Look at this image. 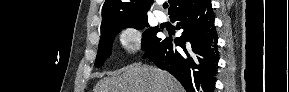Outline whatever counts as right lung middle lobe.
Masks as SVG:
<instances>
[{"label": "right lung middle lobe", "instance_id": "obj_1", "mask_svg": "<svg viewBox=\"0 0 289 92\" xmlns=\"http://www.w3.org/2000/svg\"><path fill=\"white\" fill-rule=\"evenodd\" d=\"M133 27L136 29H143L144 27H149L147 23V18L116 23L114 25L109 26L108 28L101 30V39L98 46V54L95 61L96 67H101L104 64V60L110 56L112 42L116 36V34L122 29ZM158 29L155 27L147 29L143 34L142 39V49L147 50L155 40L158 39L156 34L158 33Z\"/></svg>", "mask_w": 289, "mask_h": 92}]
</instances>
